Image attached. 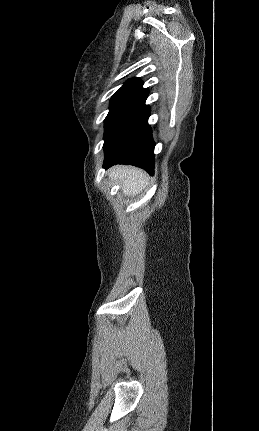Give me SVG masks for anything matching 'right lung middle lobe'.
<instances>
[{"instance_id": "dd1d6c3e", "label": "right lung middle lobe", "mask_w": 259, "mask_h": 431, "mask_svg": "<svg viewBox=\"0 0 259 431\" xmlns=\"http://www.w3.org/2000/svg\"><path fill=\"white\" fill-rule=\"evenodd\" d=\"M148 96V90L127 89L115 93L110 101V110L105 118L104 140L116 129L120 122Z\"/></svg>"}]
</instances>
